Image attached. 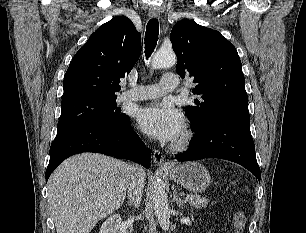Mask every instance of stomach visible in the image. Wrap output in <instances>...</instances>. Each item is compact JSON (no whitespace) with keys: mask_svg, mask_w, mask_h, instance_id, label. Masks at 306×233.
Listing matches in <instances>:
<instances>
[{"mask_svg":"<svg viewBox=\"0 0 306 233\" xmlns=\"http://www.w3.org/2000/svg\"><path fill=\"white\" fill-rule=\"evenodd\" d=\"M167 173L177 184L194 193L205 191L211 182L208 170L196 161L177 164Z\"/></svg>","mask_w":306,"mask_h":233,"instance_id":"0dacf381","label":"stomach"}]
</instances>
